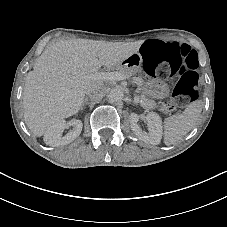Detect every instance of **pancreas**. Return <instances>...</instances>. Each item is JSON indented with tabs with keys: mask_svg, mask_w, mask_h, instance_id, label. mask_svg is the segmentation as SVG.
I'll list each match as a JSON object with an SVG mask.
<instances>
[{
	"mask_svg": "<svg viewBox=\"0 0 227 227\" xmlns=\"http://www.w3.org/2000/svg\"><path fill=\"white\" fill-rule=\"evenodd\" d=\"M117 71L123 72L127 75H130L132 78L133 83L138 85V92H139V99L142 100L141 106L144 108H154L155 107V101L152 99L147 98L145 95H142L143 87L145 85V81L140 76H135L132 73H129L126 69L121 67H116Z\"/></svg>",
	"mask_w": 227,
	"mask_h": 227,
	"instance_id": "obj_1",
	"label": "pancreas"
}]
</instances>
